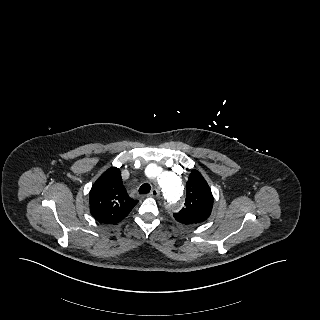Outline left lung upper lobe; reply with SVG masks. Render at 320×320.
I'll use <instances>...</instances> for the list:
<instances>
[{"mask_svg": "<svg viewBox=\"0 0 320 320\" xmlns=\"http://www.w3.org/2000/svg\"><path fill=\"white\" fill-rule=\"evenodd\" d=\"M186 193L185 206L173 214L174 218L186 225L205 221L211 214L213 196L207 182L196 170H192L189 176Z\"/></svg>", "mask_w": 320, "mask_h": 320, "instance_id": "obj_1", "label": "left lung upper lobe"}]
</instances>
